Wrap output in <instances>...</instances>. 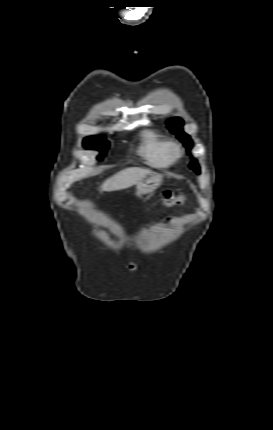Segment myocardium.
<instances>
[{"label":"myocardium","instance_id":"f54148a6","mask_svg":"<svg viewBox=\"0 0 273 430\" xmlns=\"http://www.w3.org/2000/svg\"><path fill=\"white\" fill-rule=\"evenodd\" d=\"M169 154L172 160H177L182 154L181 146L176 142H171L169 147Z\"/></svg>","mask_w":273,"mask_h":430}]
</instances>
